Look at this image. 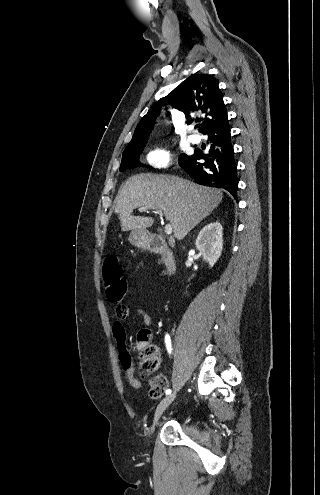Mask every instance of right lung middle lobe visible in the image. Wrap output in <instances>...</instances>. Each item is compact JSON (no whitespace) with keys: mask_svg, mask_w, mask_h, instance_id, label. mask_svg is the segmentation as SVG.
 Wrapping results in <instances>:
<instances>
[{"mask_svg":"<svg viewBox=\"0 0 320 495\" xmlns=\"http://www.w3.org/2000/svg\"><path fill=\"white\" fill-rule=\"evenodd\" d=\"M144 147H145V144L131 148V149H128V150H125L123 152V155H122L120 171L125 170V169H129V168L143 166V164H141L138 159H139V155L143 151ZM187 157H188V155L181 154L179 156L178 163H181Z\"/></svg>","mask_w":320,"mask_h":495,"instance_id":"1","label":"right lung middle lobe"}]
</instances>
